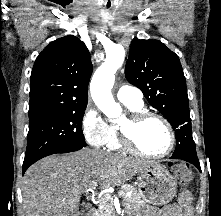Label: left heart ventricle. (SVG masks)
I'll list each match as a JSON object with an SVG mask.
<instances>
[{
	"label": "left heart ventricle",
	"mask_w": 221,
	"mask_h": 216,
	"mask_svg": "<svg viewBox=\"0 0 221 216\" xmlns=\"http://www.w3.org/2000/svg\"><path fill=\"white\" fill-rule=\"evenodd\" d=\"M137 142L149 153H163L169 146V133L161 121L151 118L146 120L139 128Z\"/></svg>",
	"instance_id": "left-heart-ventricle-1"
}]
</instances>
